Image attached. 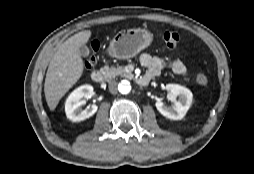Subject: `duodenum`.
<instances>
[{
    "mask_svg": "<svg viewBox=\"0 0 254 174\" xmlns=\"http://www.w3.org/2000/svg\"><path fill=\"white\" fill-rule=\"evenodd\" d=\"M91 79L93 80V82L97 83V84H101L105 81V74L103 71L101 70H94L91 73ZM152 77L151 76H147V75H142L139 76L137 78V83L140 86H146L149 84V82L151 81Z\"/></svg>",
    "mask_w": 254,
    "mask_h": 174,
    "instance_id": "410a0bca",
    "label": "duodenum"
}]
</instances>
